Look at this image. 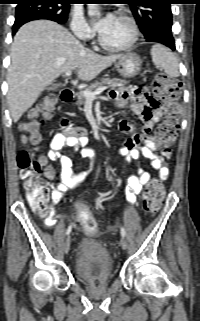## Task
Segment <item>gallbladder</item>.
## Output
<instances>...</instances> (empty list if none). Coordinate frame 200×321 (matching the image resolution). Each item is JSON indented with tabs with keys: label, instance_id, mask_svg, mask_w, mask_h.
<instances>
[{
	"label": "gallbladder",
	"instance_id": "obj_1",
	"mask_svg": "<svg viewBox=\"0 0 200 321\" xmlns=\"http://www.w3.org/2000/svg\"><path fill=\"white\" fill-rule=\"evenodd\" d=\"M60 86H61V84H54V85L50 86L48 89L49 90H55L56 88H58Z\"/></svg>",
	"mask_w": 200,
	"mask_h": 321
}]
</instances>
